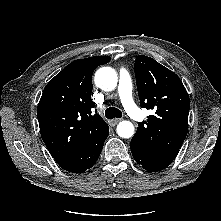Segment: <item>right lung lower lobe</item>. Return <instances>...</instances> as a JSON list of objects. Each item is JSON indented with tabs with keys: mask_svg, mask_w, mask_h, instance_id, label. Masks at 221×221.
<instances>
[{
	"mask_svg": "<svg viewBox=\"0 0 221 221\" xmlns=\"http://www.w3.org/2000/svg\"><path fill=\"white\" fill-rule=\"evenodd\" d=\"M108 134L109 127L107 125L74 154L58 164L64 170L72 173H81L91 168L98 160Z\"/></svg>",
	"mask_w": 221,
	"mask_h": 221,
	"instance_id": "right-lung-lower-lobe-1",
	"label": "right lung lower lobe"
}]
</instances>
